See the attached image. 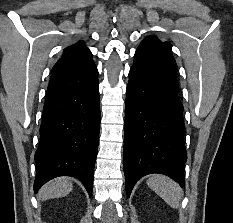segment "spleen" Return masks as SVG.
<instances>
[{
    "label": "spleen",
    "mask_w": 233,
    "mask_h": 223,
    "mask_svg": "<svg viewBox=\"0 0 233 223\" xmlns=\"http://www.w3.org/2000/svg\"><path fill=\"white\" fill-rule=\"evenodd\" d=\"M146 183L171 207H178L182 197V189L179 183H176L170 177H166V175H151Z\"/></svg>",
    "instance_id": "3e777b00"
}]
</instances>
